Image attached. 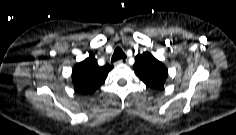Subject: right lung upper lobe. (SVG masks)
Listing matches in <instances>:
<instances>
[{
	"label": "right lung upper lobe",
	"instance_id": "cb5924a9",
	"mask_svg": "<svg viewBox=\"0 0 236 135\" xmlns=\"http://www.w3.org/2000/svg\"><path fill=\"white\" fill-rule=\"evenodd\" d=\"M112 65L99 66L97 60L89 56L77 63L72 71V80L77 92L91 94L105 81Z\"/></svg>",
	"mask_w": 236,
	"mask_h": 135
}]
</instances>
